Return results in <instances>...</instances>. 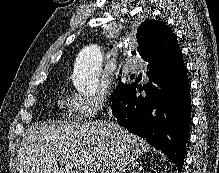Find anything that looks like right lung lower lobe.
<instances>
[{
    "label": "right lung lower lobe",
    "mask_w": 219,
    "mask_h": 173,
    "mask_svg": "<svg viewBox=\"0 0 219 173\" xmlns=\"http://www.w3.org/2000/svg\"><path fill=\"white\" fill-rule=\"evenodd\" d=\"M147 60V83L142 75L129 83L112 104L117 122L146 139L170 158L179 171L183 168L190 131L191 99L183 58L169 64Z\"/></svg>",
    "instance_id": "obj_1"
}]
</instances>
